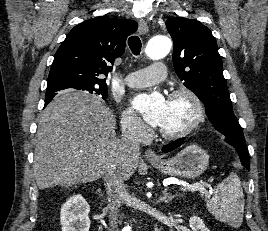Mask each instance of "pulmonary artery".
Instances as JSON below:
<instances>
[{
	"mask_svg": "<svg viewBox=\"0 0 268 231\" xmlns=\"http://www.w3.org/2000/svg\"><path fill=\"white\" fill-rule=\"evenodd\" d=\"M166 74L164 64L155 63L143 69L131 72L127 77V85L130 87H145L158 83Z\"/></svg>",
	"mask_w": 268,
	"mask_h": 231,
	"instance_id": "pulmonary-artery-1",
	"label": "pulmonary artery"
}]
</instances>
